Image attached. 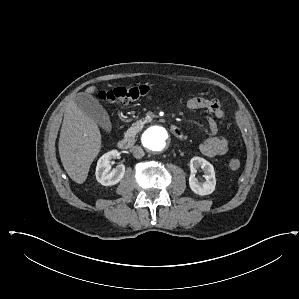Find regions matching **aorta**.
<instances>
[{"mask_svg": "<svg viewBox=\"0 0 299 299\" xmlns=\"http://www.w3.org/2000/svg\"><path fill=\"white\" fill-rule=\"evenodd\" d=\"M168 132L160 126H153L146 130L142 137L145 148L153 152L164 151L169 144Z\"/></svg>", "mask_w": 299, "mask_h": 299, "instance_id": "762f6f07", "label": "aorta"}]
</instances>
